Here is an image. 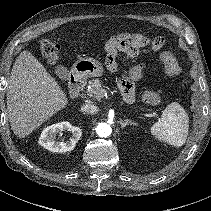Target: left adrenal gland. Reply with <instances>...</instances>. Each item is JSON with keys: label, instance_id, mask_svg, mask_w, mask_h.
<instances>
[{"label": "left adrenal gland", "instance_id": "a2214340", "mask_svg": "<svg viewBox=\"0 0 211 211\" xmlns=\"http://www.w3.org/2000/svg\"><path fill=\"white\" fill-rule=\"evenodd\" d=\"M120 125H121V128L123 129L124 127L126 126H129V125H135L134 122H132L131 120L129 119H125V120H120Z\"/></svg>", "mask_w": 211, "mask_h": 211}]
</instances>
